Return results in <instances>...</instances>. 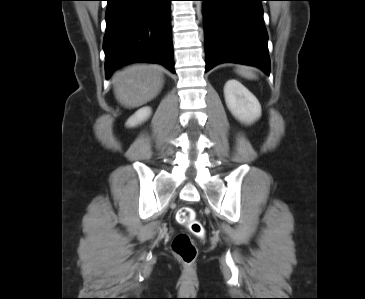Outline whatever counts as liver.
I'll list each match as a JSON object with an SVG mask.
<instances>
[{
  "label": "liver",
  "mask_w": 365,
  "mask_h": 299,
  "mask_svg": "<svg viewBox=\"0 0 365 299\" xmlns=\"http://www.w3.org/2000/svg\"><path fill=\"white\" fill-rule=\"evenodd\" d=\"M163 86L161 68L137 64L116 73L114 92L121 105L135 108L155 98Z\"/></svg>",
  "instance_id": "6515ba94"
}]
</instances>
